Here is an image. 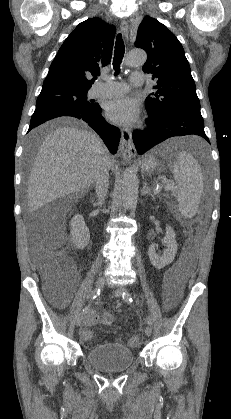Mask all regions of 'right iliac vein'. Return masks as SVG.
I'll return each mask as SVG.
<instances>
[{"label":"right iliac vein","mask_w":231,"mask_h":419,"mask_svg":"<svg viewBox=\"0 0 231 419\" xmlns=\"http://www.w3.org/2000/svg\"><path fill=\"white\" fill-rule=\"evenodd\" d=\"M104 283H105V279H104V277H99L97 280H96V283H95V288L96 289H99V288H102L103 286H104ZM83 319H84V315L81 313V314H79L77 317H76V326H80L81 325V323H82V321H83Z\"/></svg>","instance_id":"right-iliac-vein-1"}]
</instances>
